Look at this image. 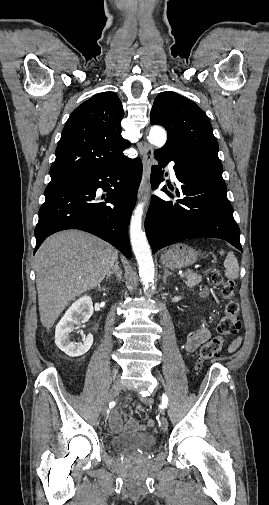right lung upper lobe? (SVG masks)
Here are the masks:
<instances>
[{
    "label": "right lung upper lobe",
    "mask_w": 269,
    "mask_h": 505,
    "mask_svg": "<svg viewBox=\"0 0 269 505\" xmlns=\"http://www.w3.org/2000/svg\"><path fill=\"white\" fill-rule=\"evenodd\" d=\"M122 103L113 92L94 95L68 118L50 168L48 185L70 181L120 158L129 142L121 136Z\"/></svg>",
    "instance_id": "cb5924a9"
}]
</instances>
